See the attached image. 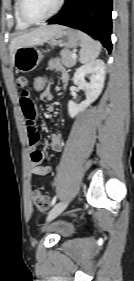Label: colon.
Listing matches in <instances>:
<instances>
[{
    "instance_id": "1",
    "label": "colon",
    "mask_w": 134,
    "mask_h": 281,
    "mask_svg": "<svg viewBox=\"0 0 134 281\" xmlns=\"http://www.w3.org/2000/svg\"><path fill=\"white\" fill-rule=\"evenodd\" d=\"M47 86H48V82L44 76L37 75L33 79V89L35 92H38L41 94L46 90ZM32 200H33V204L35 205V207L37 209H39L41 211L47 210V208L49 206V198L47 195H45L39 191H35L33 193Z\"/></svg>"
}]
</instances>
